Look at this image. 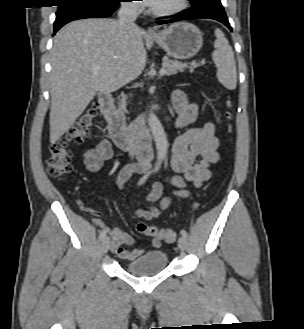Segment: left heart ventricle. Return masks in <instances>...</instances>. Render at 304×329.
<instances>
[{"mask_svg":"<svg viewBox=\"0 0 304 329\" xmlns=\"http://www.w3.org/2000/svg\"><path fill=\"white\" fill-rule=\"evenodd\" d=\"M179 0H156L151 6L154 9H165L175 6Z\"/></svg>","mask_w":304,"mask_h":329,"instance_id":"b2bd125f","label":"left heart ventricle"}]
</instances>
